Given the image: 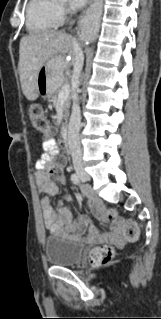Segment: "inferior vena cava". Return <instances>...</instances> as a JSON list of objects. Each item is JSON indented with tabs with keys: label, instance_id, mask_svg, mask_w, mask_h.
Here are the masks:
<instances>
[{
	"label": "inferior vena cava",
	"instance_id": "obj_1",
	"mask_svg": "<svg viewBox=\"0 0 161 319\" xmlns=\"http://www.w3.org/2000/svg\"><path fill=\"white\" fill-rule=\"evenodd\" d=\"M74 48V69H73V81L75 86H79V77L80 73L83 68L84 62V55L81 47L79 44L74 40L73 44ZM73 99V106H72V113L69 121V128H68V145L73 159V165L75 170H82L83 169V162H82V150H81V143L79 138V131L81 125V114H80V107L78 105V95L76 92L72 95Z\"/></svg>",
	"mask_w": 161,
	"mask_h": 319
}]
</instances>
